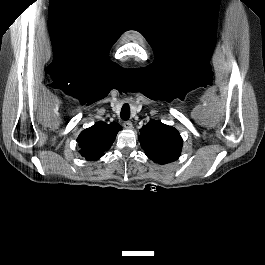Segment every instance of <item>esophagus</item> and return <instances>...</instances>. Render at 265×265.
Returning <instances> with one entry per match:
<instances>
[{
  "instance_id": "34e87169",
  "label": "esophagus",
  "mask_w": 265,
  "mask_h": 265,
  "mask_svg": "<svg viewBox=\"0 0 265 265\" xmlns=\"http://www.w3.org/2000/svg\"><path fill=\"white\" fill-rule=\"evenodd\" d=\"M123 126H124V128L127 129V130H131V129L133 128V125H132V122H131V121H125V122L123 123Z\"/></svg>"
}]
</instances>
